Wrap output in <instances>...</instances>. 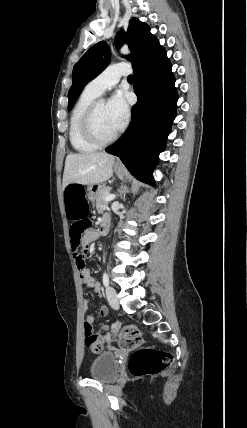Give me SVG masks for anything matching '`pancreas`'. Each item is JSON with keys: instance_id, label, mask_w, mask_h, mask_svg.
Wrapping results in <instances>:
<instances>
[{"instance_id": "1", "label": "pancreas", "mask_w": 247, "mask_h": 428, "mask_svg": "<svg viewBox=\"0 0 247 428\" xmlns=\"http://www.w3.org/2000/svg\"><path fill=\"white\" fill-rule=\"evenodd\" d=\"M111 187L101 186L98 190L95 205L98 212L102 213L108 206V202L105 200V197L109 195Z\"/></svg>"}]
</instances>
